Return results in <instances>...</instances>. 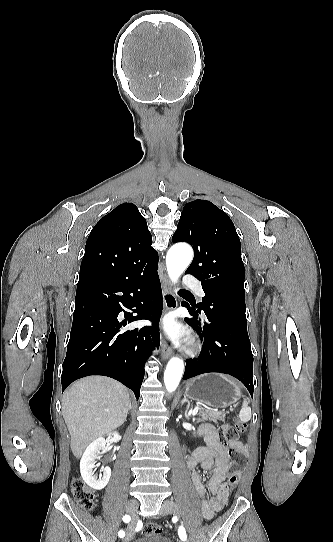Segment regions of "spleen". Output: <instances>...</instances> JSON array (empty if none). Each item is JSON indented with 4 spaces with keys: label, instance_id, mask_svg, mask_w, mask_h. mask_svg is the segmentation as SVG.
Returning a JSON list of instances; mask_svg holds the SVG:
<instances>
[{
    "label": "spleen",
    "instance_id": "obj_1",
    "mask_svg": "<svg viewBox=\"0 0 333 542\" xmlns=\"http://www.w3.org/2000/svg\"><path fill=\"white\" fill-rule=\"evenodd\" d=\"M222 378H225V376H222ZM237 392H240V388H237ZM239 418H240V422H249V420H251V408H249L247 402H243L242 404V408L239 412Z\"/></svg>",
    "mask_w": 333,
    "mask_h": 542
}]
</instances>
